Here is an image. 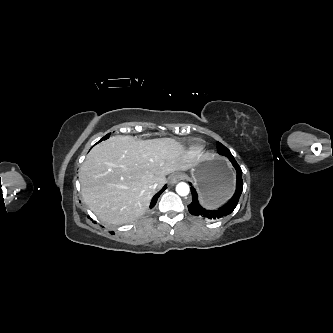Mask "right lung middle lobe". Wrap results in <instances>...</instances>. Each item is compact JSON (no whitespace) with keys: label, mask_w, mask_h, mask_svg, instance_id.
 Instances as JSON below:
<instances>
[{"label":"right lung middle lobe","mask_w":333,"mask_h":333,"mask_svg":"<svg viewBox=\"0 0 333 333\" xmlns=\"http://www.w3.org/2000/svg\"><path fill=\"white\" fill-rule=\"evenodd\" d=\"M109 135H110V134H107V135H106V136H105L103 139H106V138H108V136H109ZM103 139H102V140H103Z\"/></svg>","instance_id":"dd1d6c3e"}]
</instances>
